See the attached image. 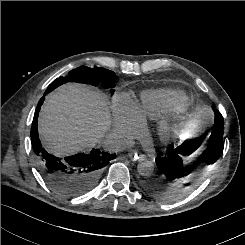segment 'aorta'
Masks as SVG:
<instances>
[{"mask_svg": "<svg viewBox=\"0 0 245 245\" xmlns=\"http://www.w3.org/2000/svg\"><path fill=\"white\" fill-rule=\"evenodd\" d=\"M138 173L143 177H149L154 171V164L152 161L145 160L138 164L137 166Z\"/></svg>", "mask_w": 245, "mask_h": 245, "instance_id": "aorta-1", "label": "aorta"}]
</instances>
